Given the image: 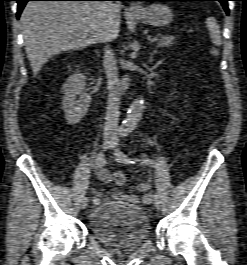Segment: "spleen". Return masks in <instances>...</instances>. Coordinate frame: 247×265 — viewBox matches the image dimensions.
Segmentation results:
<instances>
[{"label":"spleen","instance_id":"spleen-1","mask_svg":"<svg viewBox=\"0 0 247 265\" xmlns=\"http://www.w3.org/2000/svg\"><path fill=\"white\" fill-rule=\"evenodd\" d=\"M206 27L209 30L210 38H211L213 44L216 46H220L222 41H221V36H220L219 25H218L216 19L214 17H208L206 19ZM211 53L213 55H218V50L212 49Z\"/></svg>","mask_w":247,"mask_h":265}]
</instances>
